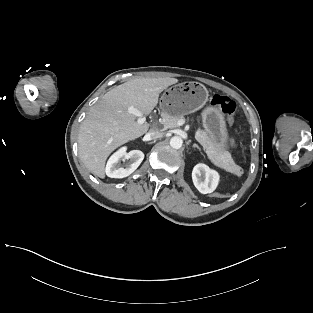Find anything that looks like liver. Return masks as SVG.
<instances>
[{"mask_svg": "<svg viewBox=\"0 0 313 313\" xmlns=\"http://www.w3.org/2000/svg\"><path fill=\"white\" fill-rule=\"evenodd\" d=\"M177 82L169 77L136 78L107 92L90 109L78 135L79 156L90 172L104 178L108 156L148 131L149 124H139L128 107L148 115L158 104L160 93Z\"/></svg>", "mask_w": 313, "mask_h": 313, "instance_id": "liver-1", "label": "liver"}]
</instances>
